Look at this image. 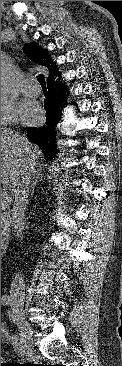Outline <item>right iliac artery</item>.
<instances>
[{
	"label": "right iliac artery",
	"mask_w": 122,
	"mask_h": 366,
	"mask_svg": "<svg viewBox=\"0 0 122 366\" xmlns=\"http://www.w3.org/2000/svg\"><path fill=\"white\" fill-rule=\"evenodd\" d=\"M10 302V297L8 295H3L2 298H1V303L3 305H8ZM22 354V352H21Z\"/></svg>",
	"instance_id": "right-iliac-artery-1"
}]
</instances>
